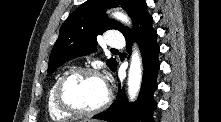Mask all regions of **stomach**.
Segmentation results:
<instances>
[{"mask_svg":"<svg viewBox=\"0 0 221 122\" xmlns=\"http://www.w3.org/2000/svg\"><path fill=\"white\" fill-rule=\"evenodd\" d=\"M81 122H94L92 120H84V121H81Z\"/></svg>","mask_w":221,"mask_h":122,"instance_id":"0dacf381","label":"stomach"}]
</instances>
